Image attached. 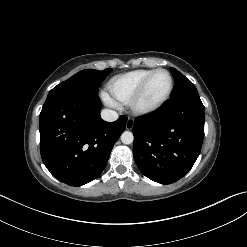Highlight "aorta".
I'll use <instances>...</instances> for the list:
<instances>
[{"mask_svg": "<svg viewBox=\"0 0 247 247\" xmlns=\"http://www.w3.org/2000/svg\"><path fill=\"white\" fill-rule=\"evenodd\" d=\"M134 140L133 133L130 131H125L121 135V141L123 144H131Z\"/></svg>", "mask_w": 247, "mask_h": 247, "instance_id": "1", "label": "aorta"}]
</instances>
